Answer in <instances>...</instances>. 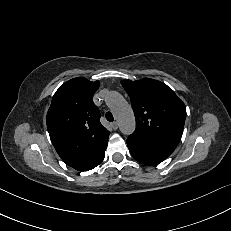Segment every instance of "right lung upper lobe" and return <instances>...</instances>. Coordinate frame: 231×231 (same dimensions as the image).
Wrapping results in <instances>:
<instances>
[{
  "label": "right lung upper lobe",
  "instance_id": "1",
  "mask_svg": "<svg viewBox=\"0 0 231 231\" xmlns=\"http://www.w3.org/2000/svg\"><path fill=\"white\" fill-rule=\"evenodd\" d=\"M99 82L83 77L64 83L54 94L47 113L51 141L62 160L79 171H88L105 156L109 131L100 123L93 103Z\"/></svg>",
  "mask_w": 231,
  "mask_h": 231
}]
</instances>
